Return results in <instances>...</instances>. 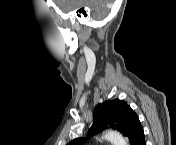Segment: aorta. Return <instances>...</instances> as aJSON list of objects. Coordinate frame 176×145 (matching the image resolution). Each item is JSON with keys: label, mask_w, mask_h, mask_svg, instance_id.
<instances>
[{"label": "aorta", "mask_w": 176, "mask_h": 145, "mask_svg": "<svg viewBox=\"0 0 176 145\" xmlns=\"http://www.w3.org/2000/svg\"><path fill=\"white\" fill-rule=\"evenodd\" d=\"M104 138L110 141L113 145H127V141L123 136L114 130H109L104 134Z\"/></svg>", "instance_id": "762f6f07"}]
</instances>
